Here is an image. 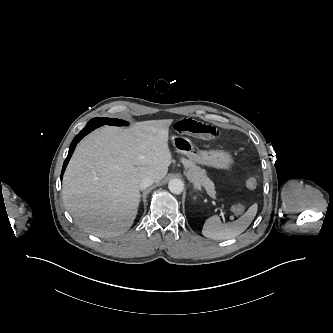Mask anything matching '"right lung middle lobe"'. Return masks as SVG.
<instances>
[{"instance_id": "dd1d6c3e", "label": "right lung middle lobe", "mask_w": 333, "mask_h": 333, "mask_svg": "<svg viewBox=\"0 0 333 333\" xmlns=\"http://www.w3.org/2000/svg\"><path fill=\"white\" fill-rule=\"evenodd\" d=\"M89 122L91 123H97V124H108V125H114V126H126L128 123L124 120L115 119V118H93Z\"/></svg>"}]
</instances>
